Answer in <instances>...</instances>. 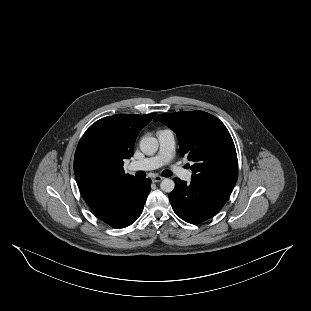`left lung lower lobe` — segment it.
I'll return each mask as SVG.
<instances>
[{
    "label": "left lung lower lobe",
    "mask_w": 311,
    "mask_h": 311,
    "mask_svg": "<svg viewBox=\"0 0 311 311\" xmlns=\"http://www.w3.org/2000/svg\"><path fill=\"white\" fill-rule=\"evenodd\" d=\"M175 189L169 194L174 212L184 221L199 224L224 206L233 187L191 180L190 184L174 178Z\"/></svg>",
    "instance_id": "0a47b994"
}]
</instances>
